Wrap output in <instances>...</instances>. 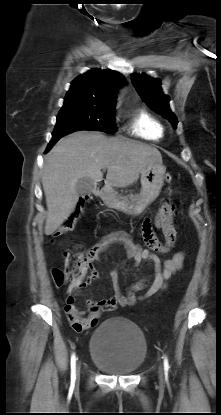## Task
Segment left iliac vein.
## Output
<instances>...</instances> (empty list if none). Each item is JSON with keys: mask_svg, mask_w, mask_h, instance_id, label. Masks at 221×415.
Here are the masks:
<instances>
[{"mask_svg": "<svg viewBox=\"0 0 221 415\" xmlns=\"http://www.w3.org/2000/svg\"><path fill=\"white\" fill-rule=\"evenodd\" d=\"M159 377H160L161 380L163 379L162 369H160V371H159Z\"/></svg>", "mask_w": 221, "mask_h": 415, "instance_id": "4c4485c4", "label": "left iliac vein"}]
</instances>
